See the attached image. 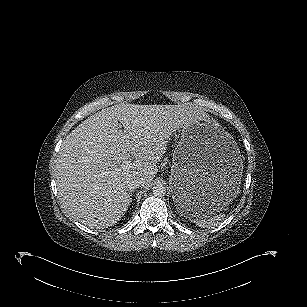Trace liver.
Here are the masks:
<instances>
[{
  "instance_id": "obj_1",
  "label": "liver",
  "mask_w": 307,
  "mask_h": 307,
  "mask_svg": "<svg viewBox=\"0 0 307 307\" xmlns=\"http://www.w3.org/2000/svg\"><path fill=\"white\" fill-rule=\"evenodd\" d=\"M193 112L181 105L120 103L84 120L62 142L55 164L66 212L91 228L115 225L132 202L127 182L139 178L142 187L150 186L172 128L184 126Z\"/></svg>"
}]
</instances>
